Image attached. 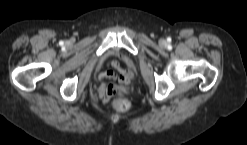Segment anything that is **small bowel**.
Returning <instances> with one entry per match:
<instances>
[{
    "label": "small bowel",
    "mask_w": 247,
    "mask_h": 145,
    "mask_svg": "<svg viewBox=\"0 0 247 145\" xmlns=\"http://www.w3.org/2000/svg\"><path fill=\"white\" fill-rule=\"evenodd\" d=\"M110 66L114 69H117L119 73L115 74L112 71H107L102 72L98 75V80L100 82L101 99L104 103H107L111 96L108 94V88H106L103 84L105 79L115 80L117 83L111 86L115 89V92L122 94L128 87L129 82L133 77V72L129 69H122L117 61H112L110 63Z\"/></svg>",
    "instance_id": "obj_1"
}]
</instances>
